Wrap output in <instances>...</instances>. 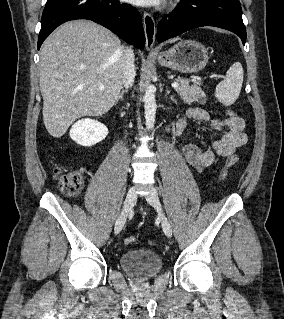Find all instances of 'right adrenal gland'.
<instances>
[{
    "mask_svg": "<svg viewBox=\"0 0 284 319\" xmlns=\"http://www.w3.org/2000/svg\"><path fill=\"white\" fill-rule=\"evenodd\" d=\"M127 91H128L127 88L121 91V93L119 94L118 98L116 99L115 104L118 103L119 100H123V95H124V93H126Z\"/></svg>",
    "mask_w": 284,
    "mask_h": 319,
    "instance_id": "obj_1",
    "label": "right adrenal gland"
}]
</instances>
